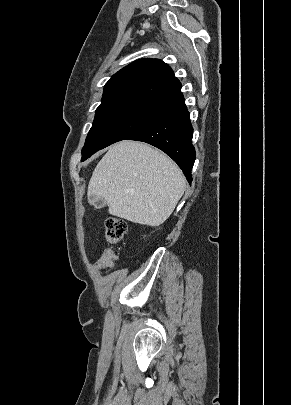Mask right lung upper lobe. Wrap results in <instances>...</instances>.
Returning a JSON list of instances; mask_svg holds the SVG:
<instances>
[{"label":"right lung upper lobe","mask_w":291,"mask_h":405,"mask_svg":"<svg viewBox=\"0 0 291 405\" xmlns=\"http://www.w3.org/2000/svg\"><path fill=\"white\" fill-rule=\"evenodd\" d=\"M181 97V83L166 63L159 59H140L110 78L101 105L130 99L171 105Z\"/></svg>","instance_id":"cb5924a9"}]
</instances>
